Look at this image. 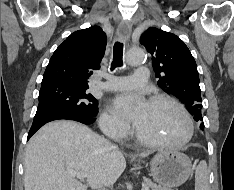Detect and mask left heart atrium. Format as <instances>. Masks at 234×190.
I'll return each mask as SVG.
<instances>
[{
	"instance_id": "39dd6f15",
	"label": "left heart atrium",
	"mask_w": 234,
	"mask_h": 190,
	"mask_svg": "<svg viewBox=\"0 0 234 190\" xmlns=\"http://www.w3.org/2000/svg\"><path fill=\"white\" fill-rule=\"evenodd\" d=\"M148 102L140 95L125 94L116 97L113 101L115 112L129 118L137 124L142 118Z\"/></svg>"
}]
</instances>
